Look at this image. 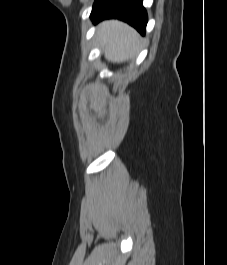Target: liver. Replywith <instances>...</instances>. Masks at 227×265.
<instances>
[{"label": "liver", "mask_w": 227, "mask_h": 265, "mask_svg": "<svg viewBox=\"0 0 227 265\" xmlns=\"http://www.w3.org/2000/svg\"><path fill=\"white\" fill-rule=\"evenodd\" d=\"M97 37L101 41L105 58L114 63L133 58L143 42L135 29L118 20L100 23Z\"/></svg>", "instance_id": "obj_1"}]
</instances>
